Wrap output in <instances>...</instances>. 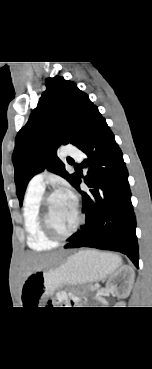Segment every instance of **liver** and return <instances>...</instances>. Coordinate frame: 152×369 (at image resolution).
<instances>
[{
  "label": "liver",
  "mask_w": 152,
  "mask_h": 369,
  "mask_svg": "<svg viewBox=\"0 0 152 369\" xmlns=\"http://www.w3.org/2000/svg\"><path fill=\"white\" fill-rule=\"evenodd\" d=\"M57 260L56 254L28 253L23 260V278L26 279L31 273L49 267Z\"/></svg>",
  "instance_id": "1"
}]
</instances>
